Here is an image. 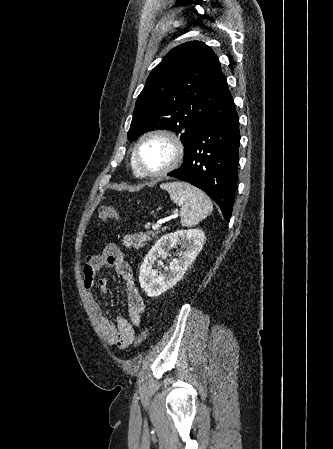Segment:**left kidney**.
Wrapping results in <instances>:
<instances>
[{"instance_id": "1", "label": "left kidney", "mask_w": 333, "mask_h": 449, "mask_svg": "<svg viewBox=\"0 0 333 449\" xmlns=\"http://www.w3.org/2000/svg\"><path fill=\"white\" fill-rule=\"evenodd\" d=\"M205 233L201 229L178 230L162 236L145 256L140 267L139 281L141 288L150 297H157L181 280L187 268L202 250ZM181 245L185 250L179 259H173L168 274H159L153 265L160 258H165L171 248Z\"/></svg>"}]
</instances>
